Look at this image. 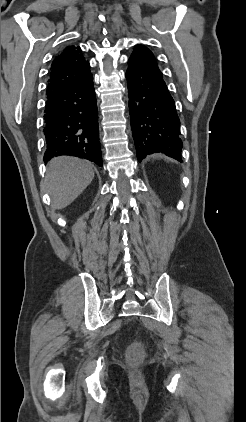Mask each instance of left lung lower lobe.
Here are the masks:
<instances>
[{"label": "left lung lower lobe", "instance_id": "left-lung-lower-lobe-1", "mask_svg": "<svg viewBox=\"0 0 246 422\" xmlns=\"http://www.w3.org/2000/svg\"><path fill=\"white\" fill-rule=\"evenodd\" d=\"M128 65L129 110L138 161L164 153L181 162L180 120L155 57L138 45Z\"/></svg>", "mask_w": 246, "mask_h": 422}]
</instances>
